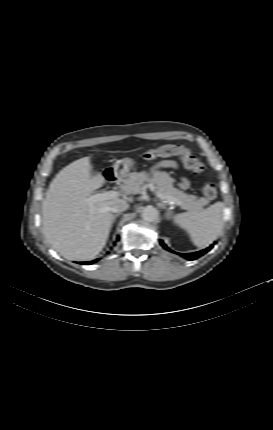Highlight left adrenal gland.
<instances>
[{"instance_id":"left-adrenal-gland-1","label":"left adrenal gland","mask_w":273,"mask_h":430,"mask_svg":"<svg viewBox=\"0 0 273 430\" xmlns=\"http://www.w3.org/2000/svg\"><path fill=\"white\" fill-rule=\"evenodd\" d=\"M159 206L161 207V208H163V209H166V214H165V217H166V219L167 220H169L170 218H171V214H172V212H171V209L170 208H167L166 207V205L165 204H163V203H160L159 204Z\"/></svg>"}]
</instances>
